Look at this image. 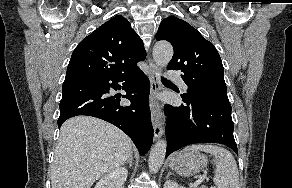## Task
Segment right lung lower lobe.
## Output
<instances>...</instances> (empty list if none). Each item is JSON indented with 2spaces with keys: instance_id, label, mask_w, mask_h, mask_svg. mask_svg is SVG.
I'll list each match as a JSON object with an SVG mask.
<instances>
[{
  "instance_id": "right-lung-lower-lobe-1",
  "label": "right lung lower lobe",
  "mask_w": 292,
  "mask_h": 188,
  "mask_svg": "<svg viewBox=\"0 0 292 188\" xmlns=\"http://www.w3.org/2000/svg\"><path fill=\"white\" fill-rule=\"evenodd\" d=\"M119 82L123 86L119 85ZM124 89L126 95L110 96V89ZM150 82L140 70L121 76L66 78L62 88L58 127L68 118L87 115L103 119L120 128L134 142L140 155L146 154L153 141L148 96ZM120 97L131 101L119 104Z\"/></svg>"
}]
</instances>
